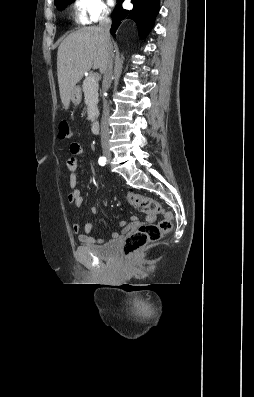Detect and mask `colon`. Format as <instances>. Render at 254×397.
<instances>
[{"label":"colon","mask_w":254,"mask_h":397,"mask_svg":"<svg viewBox=\"0 0 254 397\" xmlns=\"http://www.w3.org/2000/svg\"><path fill=\"white\" fill-rule=\"evenodd\" d=\"M71 136L72 133L68 123L61 121L59 124V137L66 140L70 139ZM126 197L132 206L143 212L163 215V219L158 223L143 224L127 236L123 244V253L129 257L168 234L172 228L173 215L171 212L166 211L160 202L151 197L135 192L128 193Z\"/></svg>","instance_id":"1"}]
</instances>
